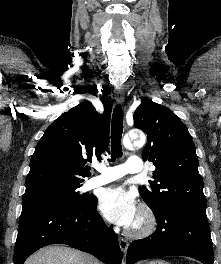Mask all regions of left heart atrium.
I'll return each mask as SVG.
<instances>
[{"label": "left heart atrium", "instance_id": "obj_1", "mask_svg": "<svg viewBox=\"0 0 221 264\" xmlns=\"http://www.w3.org/2000/svg\"><path fill=\"white\" fill-rule=\"evenodd\" d=\"M99 209L107 220L124 227L133 226L138 217L134 196L122 187L103 190L99 196Z\"/></svg>", "mask_w": 221, "mask_h": 264}]
</instances>
